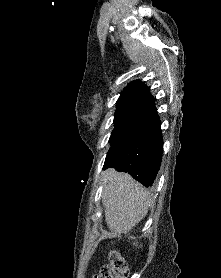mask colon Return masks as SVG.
<instances>
[{
	"label": "colon",
	"mask_w": 221,
	"mask_h": 278,
	"mask_svg": "<svg viewBox=\"0 0 221 278\" xmlns=\"http://www.w3.org/2000/svg\"><path fill=\"white\" fill-rule=\"evenodd\" d=\"M108 258L110 264L103 266L94 278H127V265L121 255L117 251L112 250Z\"/></svg>",
	"instance_id": "colon-1"
}]
</instances>
